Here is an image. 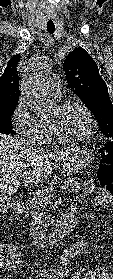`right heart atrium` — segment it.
Wrapping results in <instances>:
<instances>
[{
	"instance_id": "1",
	"label": "right heart atrium",
	"mask_w": 113,
	"mask_h": 279,
	"mask_svg": "<svg viewBox=\"0 0 113 279\" xmlns=\"http://www.w3.org/2000/svg\"><path fill=\"white\" fill-rule=\"evenodd\" d=\"M11 124L17 134L29 141H37L41 132L40 121L20 97L11 115Z\"/></svg>"
}]
</instances>
